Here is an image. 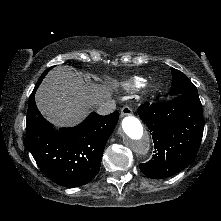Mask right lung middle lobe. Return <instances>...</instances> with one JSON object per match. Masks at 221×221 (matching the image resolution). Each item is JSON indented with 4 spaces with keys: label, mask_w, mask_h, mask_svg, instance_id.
<instances>
[{
    "label": "right lung middle lobe",
    "mask_w": 221,
    "mask_h": 221,
    "mask_svg": "<svg viewBox=\"0 0 221 221\" xmlns=\"http://www.w3.org/2000/svg\"><path fill=\"white\" fill-rule=\"evenodd\" d=\"M69 63H71V62H69ZM51 68H48L47 70H45L44 73L41 76H45Z\"/></svg>",
    "instance_id": "right-lung-middle-lobe-1"
}]
</instances>
